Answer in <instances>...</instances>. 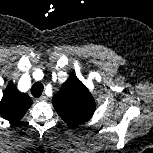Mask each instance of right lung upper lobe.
Wrapping results in <instances>:
<instances>
[{
	"instance_id": "obj_1",
	"label": "right lung upper lobe",
	"mask_w": 153,
	"mask_h": 153,
	"mask_svg": "<svg viewBox=\"0 0 153 153\" xmlns=\"http://www.w3.org/2000/svg\"><path fill=\"white\" fill-rule=\"evenodd\" d=\"M31 105L30 96L19 92L13 83H9L0 101V115L11 123H17Z\"/></svg>"
}]
</instances>
